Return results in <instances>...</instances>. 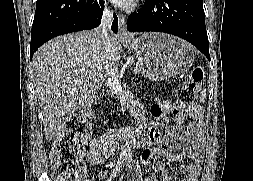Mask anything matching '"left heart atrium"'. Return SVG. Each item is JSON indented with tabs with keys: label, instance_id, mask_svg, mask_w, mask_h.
<instances>
[{
	"label": "left heart atrium",
	"instance_id": "1",
	"mask_svg": "<svg viewBox=\"0 0 253 181\" xmlns=\"http://www.w3.org/2000/svg\"><path fill=\"white\" fill-rule=\"evenodd\" d=\"M138 0H111L116 6L121 8H131L135 6Z\"/></svg>",
	"mask_w": 253,
	"mask_h": 181
}]
</instances>
